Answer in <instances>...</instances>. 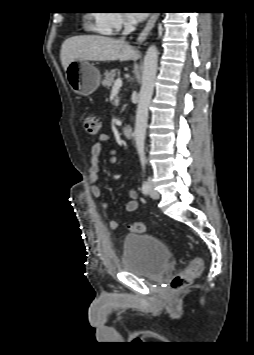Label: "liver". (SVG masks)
Wrapping results in <instances>:
<instances>
[{"instance_id": "liver-1", "label": "liver", "mask_w": 254, "mask_h": 355, "mask_svg": "<svg viewBox=\"0 0 254 355\" xmlns=\"http://www.w3.org/2000/svg\"><path fill=\"white\" fill-rule=\"evenodd\" d=\"M139 57L138 51L123 40L101 35H81L66 39L61 47V63L66 71L75 60L129 61Z\"/></svg>"}]
</instances>
